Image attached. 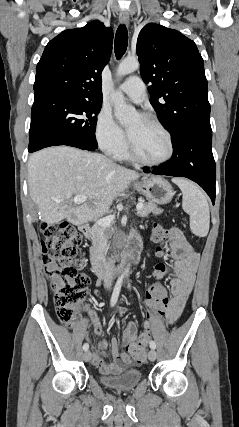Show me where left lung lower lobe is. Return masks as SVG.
<instances>
[{"mask_svg":"<svg viewBox=\"0 0 239 427\" xmlns=\"http://www.w3.org/2000/svg\"><path fill=\"white\" fill-rule=\"evenodd\" d=\"M173 144L172 158L151 171L156 175L186 177L198 183L215 202L216 166L212 154V131L183 132ZM149 173L150 170H144Z\"/></svg>","mask_w":239,"mask_h":427,"instance_id":"obj_1","label":"left lung lower lobe"}]
</instances>
